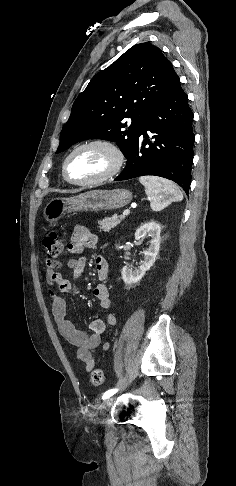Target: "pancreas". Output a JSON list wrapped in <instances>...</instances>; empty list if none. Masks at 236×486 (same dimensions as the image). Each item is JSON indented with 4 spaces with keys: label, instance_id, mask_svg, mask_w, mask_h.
Wrapping results in <instances>:
<instances>
[{
    "label": "pancreas",
    "instance_id": "obj_1",
    "mask_svg": "<svg viewBox=\"0 0 236 486\" xmlns=\"http://www.w3.org/2000/svg\"><path fill=\"white\" fill-rule=\"evenodd\" d=\"M124 216H117V215H112L111 217H105L102 221L99 222L100 229H102L105 232H109L112 228L116 227Z\"/></svg>",
    "mask_w": 236,
    "mask_h": 486
}]
</instances>
